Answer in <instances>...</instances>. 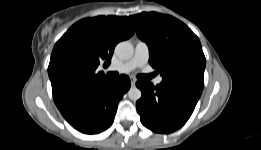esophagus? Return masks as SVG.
Here are the masks:
<instances>
[{
  "mask_svg": "<svg viewBox=\"0 0 261 150\" xmlns=\"http://www.w3.org/2000/svg\"><path fill=\"white\" fill-rule=\"evenodd\" d=\"M135 84H136V79H134V78H131V85H132V87H134V86H135Z\"/></svg>",
  "mask_w": 261,
  "mask_h": 150,
  "instance_id": "34e87169",
  "label": "esophagus"
}]
</instances>
